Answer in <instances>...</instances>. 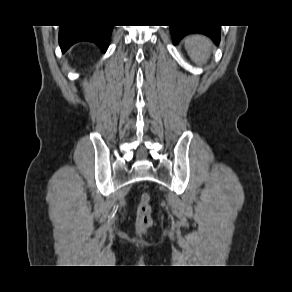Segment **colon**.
<instances>
[{"label":"colon","instance_id":"1","mask_svg":"<svg viewBox=\"0 0 292 292\" xmlns=\"http://www.w3.org/2000/svg\"><path fill=\"white\" fill-rule=\"evenodd\" d=\"M153 224L150 196L143 193L137 207L136 229L139 233L146 232Z\"/></svg>","mask_w":292,"mask_h":292}]
</instances>
